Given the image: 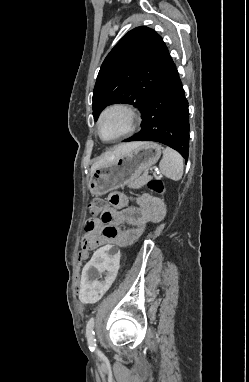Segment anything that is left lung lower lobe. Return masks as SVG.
Listing matches in <instances>:
<instances>
[{"mask_svg": "<svg viewBox=\"0 0 249 382\" xmlns=\"http://www.w3.org/2000/svg\"><path fill=\"white\" fill-rule=\"evenodd\" d=\"M142 119L141 131L125 141L160 142L188 159V102L174 63L160 82Z\"/></svg>", "mask_w": 249, "mask_h": 382, "instance_id": "left-lung-lower-lobe-1", "label": "left lung lower lobe"}]
</instances>
